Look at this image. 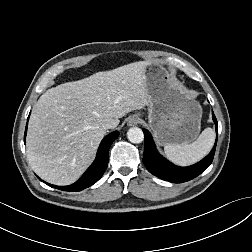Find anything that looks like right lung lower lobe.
<instances>
[{
  "mask_svg": "<svg viewBox=\"0 0 252 252\" xmlns=\"http://www.w3.org/2000/svg\"><path fill=\"white\" fill-rule=\"evenodd\" d=\"M26 131H27V125H26V130H25V135H24V141L26 138ZM119 135V132L115 131L109 135H107L101 142L97 155L95 158V161L93 164L87 169V171L82 175V177L76 181L72 185L68 186H56L52 184H47L53 188H57L59 190L63 191H72V192H77L81 191L85 188L90 187L94 183H96L103 175L105 172L107 165H108V154H109V148L111 144L114 142V140L117 139Z\"/></svg>",
  "mask_w": 252,
  "mask_h": 252,
  "instance_id": "obj_1",
  "label": "right lung lower lobe"
}]
</instances>
